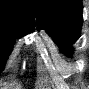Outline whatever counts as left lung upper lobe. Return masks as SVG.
Masks as SVG:
<instances>
[{
	"mask_svg": "<svg viewBox=\"0 0 89 89\" xmlns=\"http://www.w3.org/2000/svg\"><path fill=\"white\" fill-rule=\"evenodd\" d=\"M36 11L37 29H44L60 47V51L70 56L69 46L79 37L82 27L83 5L81 0H33Z\"/></svg>",
	"mask_w": 89,
	"mask_h": 89,
	"instance_id": "left-lung-upper-lobe-1",
	"label": "left lung upper lobe"
}]
</instances>
